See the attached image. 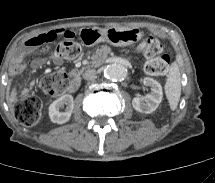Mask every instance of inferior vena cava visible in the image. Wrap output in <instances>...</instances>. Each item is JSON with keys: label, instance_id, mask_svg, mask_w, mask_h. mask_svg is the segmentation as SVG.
<instances>
[{"label": "inferior vena cava", "instance_id": "obj_1", "mask_svg": "<svg viewBox=\"0 0 215 183\" xmlns=\"http://www.w3.org/2000/svg\"><path fill=\"white\" fill-rule=\"evenodd\" d=\"M83 78L85 80H91L96 78V71L94 69H88L83 73Z\"/></svg>", "mask_w": 215, "mask_h": 183}]
</instances>
